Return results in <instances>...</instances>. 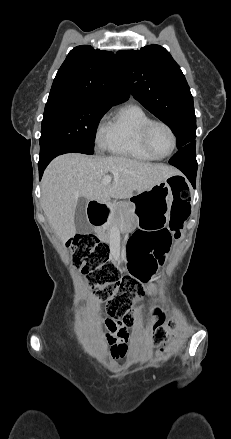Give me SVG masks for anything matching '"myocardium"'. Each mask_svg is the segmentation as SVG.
Here are the masks:
<instances>
[{"label": "myocardium", "instance_id": "obj_1", "mask_svg": "<svg viewBox=\"0 0 231 439\" xmlns=\"http://www.w3.org/2000/svg\"><path fill=\"white\" fill-rule=\"evenodd\" d=\"M160 125L163 126L164 128H166L168 130V132L171 135L172 138V147L170 149V151L165 154V155H158L154 149L152 148L151 142H150V134L151 131L153 129V127ZM142 142L144 147L146 148V150L152 154L156 159H165L167 157H169L170 155H172L174 153V151L176 150L177 147V135L174 131V129L172 128V126L170 124H168L167 122L163 121V120H155L152 119L150 120L144 127L143 132H142Z\"/></svg>", "mask_w": 231, "mask_h": 439}]
</instances>
